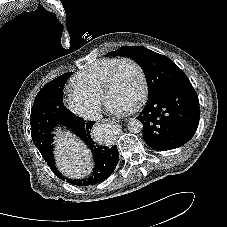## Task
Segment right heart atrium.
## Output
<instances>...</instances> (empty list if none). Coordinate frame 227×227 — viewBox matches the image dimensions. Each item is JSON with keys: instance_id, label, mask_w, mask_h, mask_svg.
I'll list each match as a JSON object with an SVG mask.
<instances>
[{"instance_id": "right-heart-atrium-1", "label": "right heart atrium", "mask_w": 227, "mask_h": 227, "mask_svg": "<svg viewBox=\"0 0 227 227\" xmlns=\"http://www.w3.org/2000/svg\"><path fill=\"white\" fill-rule=\"evenodd\" d=\"M65 104L74 114L92 119L95 118L99 112L101 98L74 90L67 92Z\"/></svg>"}]
</instances>
